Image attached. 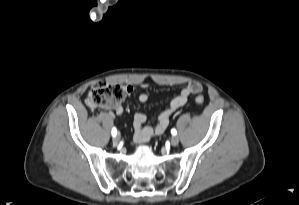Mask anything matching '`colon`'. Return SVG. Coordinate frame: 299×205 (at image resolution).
Masks as SVG:
<instances>
[{"instance_id":"colon-1","label":"colon","mask_w":299,"mask_h":205,"mask_svg":"<svg viewBox=\"0 0 299 205\" xmlns=\"http://www.w3.org/2000/svg\"><path fill=\"white\" fill-rule=\"evenodd\" d=\"M126 94L127 89L125 86L106 81H97L92 85L85 101L91 109L100 107L113 108L120 105ZM195 101L198 105H203L204 98L202 95H197Z\"/></svg>"}]
</instances>
